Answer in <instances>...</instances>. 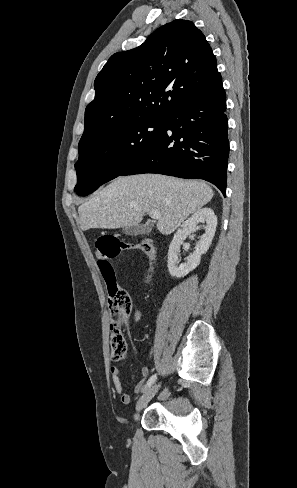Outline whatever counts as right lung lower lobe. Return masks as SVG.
<instances>
[{"instance_id": "obj_1", "label": "right lung lower lobe", "mask_w": 297, "mask_h": 488, "mask_svg": "<svg viewBox=\"0 0 297 488\" xmlns=\"http://www.w3.org/2000/svg\"><path fill=\"white\" fill-rule=\"evenodd\" d=\"M226 99L221 80L166 118L164 130L122 174L159 173L204 179L226 196L229 155Z\"/></svg>"}]
</instances>
